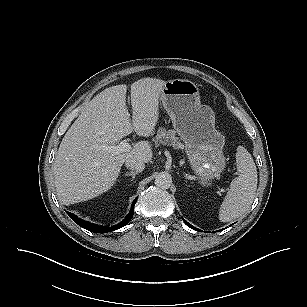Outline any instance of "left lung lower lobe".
Returning <instances> with one entry per match:
<instances>
[{"label": "left lung lower lobe", "instance_id": "left-lung-lower-lobe-1", "mask_svg": "<svg viewBox=\"0 0 307 307\" xmlns=\"http://www.w3.org/2000/svg\"><path fill=\"white\" fill-rule=\"evenodd\" d=\"M183 221H184L191 229H194V230H196V231H200V232H201V230H199V229H197L196 227L192 226V225H191L190 223H188L186 220L183 219Z\"/></svg>", "mask_w": 307, "mask_h": 307}]
</instances>
